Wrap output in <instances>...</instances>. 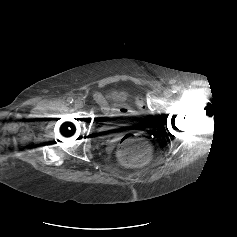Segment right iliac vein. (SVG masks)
I'll return each instance as SVG.
<instances>
[{
	"label": "right iliac vein",
	"mask_w": 237,
	"mask_h": 237,
	"mask_svg": "<svg viewBox=\"0 0 237 237\" xmlns=\"http://www.w3.org/2000/svg\"><path fill=\"white\" fill-rule=\"evenodd\" d=\"M74 106H75V108H77V109L82 108V107H83V101L80 100V99L75 100Z\"/></svg>",
	"instance_id": "obj_1"
}]
</instances>
